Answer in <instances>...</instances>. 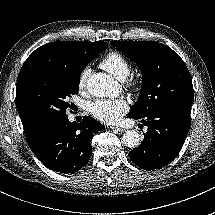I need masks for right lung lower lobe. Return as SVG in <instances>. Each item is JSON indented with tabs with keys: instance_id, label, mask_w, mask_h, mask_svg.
Listing matches in <instances>:
<instances>
[{
	"instance_id": "1",
	"label": "right lung lower lobe",
	"mask_w": 215,
	"mask_h": 215,
	"mask_svg": "<svg viewBox=\"0 0 215 215\" xmlns=\"http://www.w3.org/2000/svg\"><path fill=\"white\" fill-rule=\"evenodd\" d=\"M104 126L90 116L81 123L70 122L68 116L44 122L26 137L30 149L49 169L74 173L89 160L93 134Z\"/></svg>"
}]
</instances>
